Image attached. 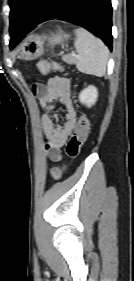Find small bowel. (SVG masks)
<instances>
[{
    "label": "small bowel",
    "mask_w": 134,
    "mask_h": 281,
    "mask_svg": "<svg viewBox=\"0 0 134 281\" xmlns=\"http://www.w3.org/2000/svg\"><path fill=\"white\" fill-rule=\"evenodd\" d=\"M38 104L43 110L41 126L46 137L45 152L54 162L62 159L61 148L66 143L76 125V110L71 98L70 83L62 77H53L44 87L35 90ZM63 106V123L55 111L56 104Z\"/></svg>",
    "instance_id": "1"
}]
</instances>
